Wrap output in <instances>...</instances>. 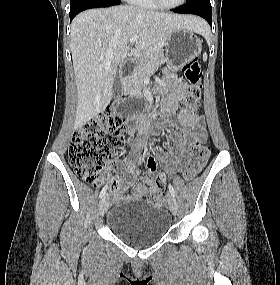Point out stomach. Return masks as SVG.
I'll return each mask as SVG.
<instances>
[{"label": "stomach", "instance_id": "stomach-1", "mask_svg": "<svg viewBox=\"0 0 280 285\" xmlns=\"http://www.w3.org/2000/svg\"><path fill=\"white\" fill-rule=\"evenodd\" d=\"M165 46L166 59L175 68L194 59L202 50L201 40L184 27L172 31Z\"/></svg>", "mask_w": 280, "mask_h": 285}]
</instances>
